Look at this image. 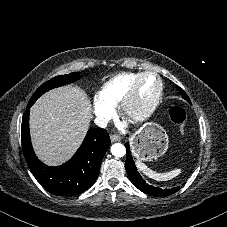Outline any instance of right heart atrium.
Instances as JSON below:
<instances>
[{
	"label": "right heart atrium",
	"instance_id": "obj_1",
	"mask_svg": "<svg viewBox=\"0 0 227 227\" xmlns=\"http://www.w3.org/2000/svg\"><path fill=\"white\" fill-rule=\"evenodd\" d=\"M93 112L99 120H105L112 115L113 108L101 101H95L93 104Z\"/></svg>",
	"mask_w": 227,
	"mask_h": 227
}]
</instances>
